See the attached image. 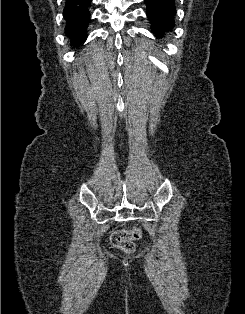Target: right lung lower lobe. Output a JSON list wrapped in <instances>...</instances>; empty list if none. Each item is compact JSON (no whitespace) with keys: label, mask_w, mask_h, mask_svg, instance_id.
Returning <instances> with one entry per match:
<instances>
[{"label":"right lung lower lobe","mask_w":245,"mask_h":314,"mask_svg":"<svg viewBox=\"0 0 245 314\" xmlns=\"http://www.w3.org/2000/svg\"><path fill=\"white\" fill-rule=\"evenodd\" d=\"M92 0H66L64 18L65 31L71 39V45L79 46L87 38V26L90 22L89 7Z\"/></svg>","instance_id":"right-lung-lower-lobe-1"}]
</instances>
